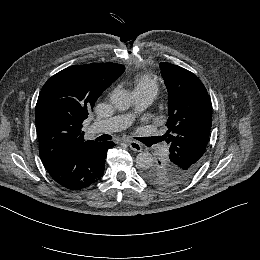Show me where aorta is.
Listing matches in <instances>:
<instances>
[{
    "label": "aorta",
    "instance_id": "obj_1",
    "mask_svg": "<svg viewBox=\"0 0 260 260\" xmlns=\"http://www.w3.org/2000/svg\"><path fill=\"white\" fill-rule=\"evenodd\" d=\"M110 102L118 111H125L131 106V95L124 89H116L110 96ZM136 164L142 169L149 168L153 165V156L148 151L140 152L136 156Z\"/></svg>",
    "mask_w": 260,
    "mask_h": 260
}]
</instances>
